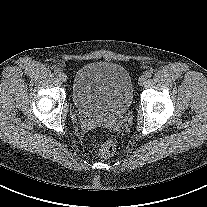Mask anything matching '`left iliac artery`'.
Listing matches in <instances>:
<instances>
[{"label": "left iliac artery", "mask_w": 207, "mask_h": 207, "mask_svg": "<svg viewBox=\"0 0 207 207\" xmlns=\"http://www.w3.org/2000/svg\"><path fill=\"white\" fill-rule=\"evenodd\" d=\"M145 76H146L147 78H150V77L152 76V71H147V72L145 73Z\"/></svg>", "instance_id": "left-iliac-artery-1"}]
</instances>
